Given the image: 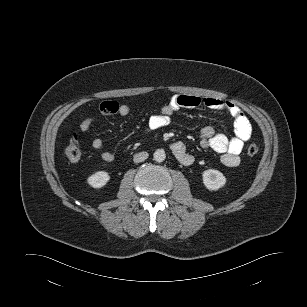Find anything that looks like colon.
Segmentation results:
<instances>
[{"label": "colon", "instance_id": "1", "mask_svg": "<svg viewBox=\"0 0 307 307\" xmlns=\"http://www.w3.org/2000/svg\"><path fill=\"white\" fill-rule=\"evenodd\" d=\"M259 152V146L255 143H251L247 147V154L249 156H255ZM65 155L70 161H77L81 156V150L79 147L78 139L74 137L65 149Z\"/></svg>", "mask_w": 307, "mask_h": 307}]
</instances>
